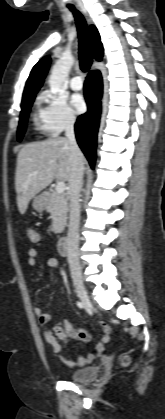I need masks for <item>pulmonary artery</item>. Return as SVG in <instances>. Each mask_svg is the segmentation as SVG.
Here are the masks:
<instances>
[{
    "label": "pulmonary artery",
    "mask_w": 165,
    "mask_h": 419,
    "mask_svg": "<svg viewBox=\"0 0 165 419\" xmlns=\"http://www.w3.org/2000/svg\"><path fill=\"white\" fill-rule=\"evenodd\" d=\"M70 87L73 90L82 89V87H83L82 78L79 75H75L74 77H72V79L70 80Z\"/></svg>",
    "instance_id": "1"
}]
</instances>
